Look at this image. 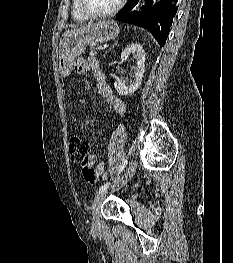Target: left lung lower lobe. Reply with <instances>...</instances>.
<instances>
[{"label": "left lung lower lobe", "instance_id": "left-lung-lower-lobe-1", "mask_svg": "<svg viewBox=\"0 0 233 263\" xmlns=\"http://www.w3.org/2000/svg\"><path fill=\"white\" fill-rule=\"evenodd\" d=\"M179 0H129L116 19L149 30L164 46Z\"/></svg>", "mask_w": 233, "mask_h": 263}]
</instances>
